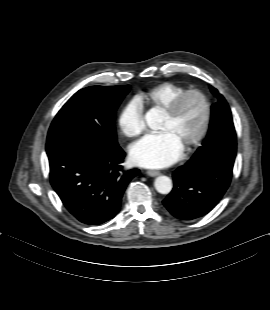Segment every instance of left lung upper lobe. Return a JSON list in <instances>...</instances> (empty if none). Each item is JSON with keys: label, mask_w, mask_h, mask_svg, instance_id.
Here are the masks:
<instances>
[{"label": "left lung upper lobe", "mask_w": 270, "mask_h": 310, "mask_svg": "<svg viewBox=\"0 0 270 310\" xmlns=\"http://www.w3.org/2000/svg\"><path fill=\"white\" fill-rule=\"evenodd\" d=\"M218 101L212 105L210 128L206 140L191 161L233 168L236 156V132L230 108L224 97L211 87Z\"/></svg>", "instance_id": "1"}]
</instances>
